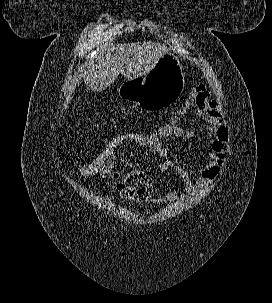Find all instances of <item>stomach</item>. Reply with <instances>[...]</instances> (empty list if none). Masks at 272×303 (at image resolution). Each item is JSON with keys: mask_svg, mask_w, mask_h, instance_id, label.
I'll use <instances>...</instances> for the list:
<instances>
[{"mask_svg": "<svg viewBox=\"0 0 272 303\" xmlns=\"http://www.w3.org/2000/svg\"><path fill=\"white\" fill-rule=\"evenodd\" d=\"M184 85L182 65L173 53L168 52L146 75L124 82L118 95L143 109L154 110L179 98Z\"/></svg>", "mask_w": 272, "mask_h": 303, "instance_id": "0dacf381", "label": "stomach"}]
</instances>
